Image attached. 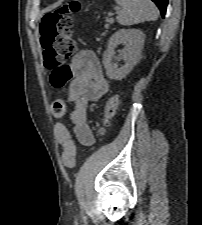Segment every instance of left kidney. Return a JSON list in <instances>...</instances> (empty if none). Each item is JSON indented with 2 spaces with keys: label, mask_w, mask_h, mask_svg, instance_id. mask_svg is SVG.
Returning a JSON list of instances; mask_svg holds the SVG:
<instances>
[{
  "label": "left kidney",
  "mask_w": 202,
  "mask_h": 225,
  "mask_svg": "<svg viewBox=\"0 0 202 225\" xmlns=\"http://www.w3.org/2000/svg\"><path fill=\"white\" fill-rule=\"evenodd\" d=\"M144 39L145 34L139 29H120L110 37L107 50L103 55V64L108 78L122 80L130 73L140 58ZM119 44L125 45L122 51V59L125 64L121 67L117 63H113L115 48Z\"/></svg>",
  "instance_id": "left-kidney-1"
}]
</instances>
